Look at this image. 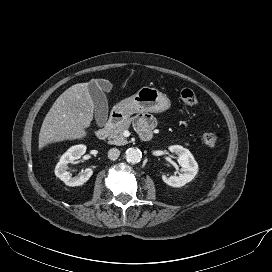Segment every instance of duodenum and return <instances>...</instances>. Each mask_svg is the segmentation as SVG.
Returning <instances> with one entry per match:
<instances>
[{
    "label": "duodenum",
    "mask_w": 272,
    "mask_h": 272,
    "mask_svg": "<svg viewBox=\"0 0 272 272\" xmlns=\"http://www.w3.org/2000/svg\"><path fill=\"white\" fill-rule=\"evenodd\" d=\"M122 119L120 111H115L107 122L96 131V136L99 139H106L112 128Z\"/></svg>",
    "instance_id": "duodenum-1"
}]
</instances>
